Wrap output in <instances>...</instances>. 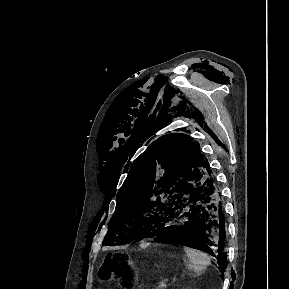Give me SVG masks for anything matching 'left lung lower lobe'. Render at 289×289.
Listing matches in <instances>:
<instances>
[{"mask_svg":"<svg viewBox=\"0 0 289 289\" xmlns=\"http://www.w3.org/2000/svg\"><path fill=\"white\" fill-rule=\"evenodd\" d=\"M225 219L221 194L214 175L188 183L169 205L167 217L146 237H177L190 240L189 247L214 256L223 274L227 266Z\"/></svg>","mask_w":289,"mask_h":289,"instance_id":"0a47b994","label":"left lung lower lobe"}]
</instances>
